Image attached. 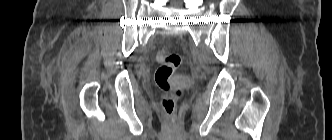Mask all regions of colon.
I'll use <instances>...</instances> for the list:
<instances>
[{
	"label": "colon",
	"instance_id": "colon-1",
	"mask_svg": "<svg viewBox=\"0 0 332 140\" xmlns=\"http://www.w3.org/2000/svg\"><path fill=\"white\" fill-rule=\"evenodd\" d=\"M157 61L160 64L155 71L156 85L165 92L162 100V107L166 115L173 120L177 100L182 96V89L173 83V75L181 64V57L174 52L162 50L157 54Z\"/></svg>",
	"mask_w": 332,
	"mask_h": 140
}]
</instances>
